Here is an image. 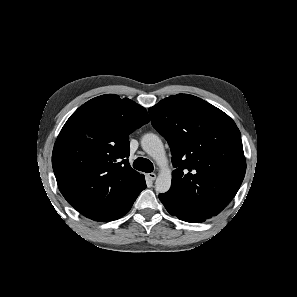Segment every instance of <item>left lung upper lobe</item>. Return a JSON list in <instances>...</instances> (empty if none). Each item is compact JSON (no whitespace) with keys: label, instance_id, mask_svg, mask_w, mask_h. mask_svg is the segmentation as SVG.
I'll use <instances>...</instances> for the list:
<instances>
[{"label":"left lung upper lobe","instance_id":"left-lung-upper-lobe-1","mask_svg":"<svg viewBox=\"0 0 297 297\" xmlns=\"http://www.w3.org/2000/svg\"><path fill=\"white\" fill-rule=\"evenodd\" d=\"M149 113L173 156L175 170L167 193L205 219L218 215L237 193L246 171L235 122L188 94L165 98L149 108Z\"/></svg>","mask_w":297,"mask_h":297}]
</instances>
